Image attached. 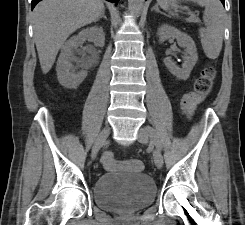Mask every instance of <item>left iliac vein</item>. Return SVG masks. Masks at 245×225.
<instances>
[{
    "instance_id": "left-iliac-vein-1",
    "label": "left iliac vein",
    "mask_w": 245,
    "mask_h": 225,
    "mask_svg": "<svg viewBox=\"0 0 245 225\" xmlns=\"http://www.w3.org/2000/svg\"><path fill=\"white\" fill-rule=\"evenodd\" d=\"M138 141L142 144H147L149 141V134L145 128H140L138 131ZM153 157L155 165L161 168L163 165V156L158 149L153 150Z\"/></svg>"
}]
</instances>
